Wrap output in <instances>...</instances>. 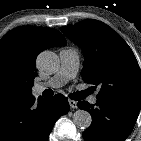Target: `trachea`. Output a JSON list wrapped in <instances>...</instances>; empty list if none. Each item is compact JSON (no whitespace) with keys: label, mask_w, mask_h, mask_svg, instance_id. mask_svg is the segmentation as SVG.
Returning <instances> with one entry per match:
<instances>
[{"label":"trachea","mask_w":141,"mask_h":141,"mask_svg":"<svg viewBox=\"0 0 141 141\" xmlns=\"http://www.w3.org/2000/svg\"><path fill=\"white\" fill-rule=\"evenodd\" d=\"M87 95H88V91H81V92L72 93L69 95V97L73 100H82Z\"/></svg>","instance_id":"3493384b"}]
</instances>
